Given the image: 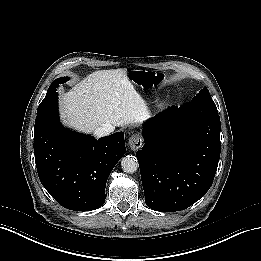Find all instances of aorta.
<instances>
[{
	"label": "aorta",
	"instance_id": "obj_1",
	"mask_svg": "<svg viewBox=\"0 0 261 261\" xmlns=\"http://www.w3.org/2000/svg\"><path fill=\"white\" fill-rule=\"evenodd\" d=\"M121 168L124 172L133 174L139 168L138 160L135 156L127 155L121 159Z\"/></svg>",
	"mask_w": 261,
	"mask_h": 261
}]
</instances>
